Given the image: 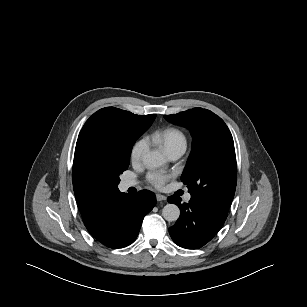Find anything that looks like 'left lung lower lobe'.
Instances as JSON below:
<instances>
[{
	"label": "left lung lower lobe",
	"instance_id": "0a47b994",
	"mask_svg": "<svg viewBox=\"0 0 307 307\" xmlns=\"http://www.w3.org/2000/svg\"><path fill=\"white\" fill-rule=\"evenodd\" d=\"M167 201L181 209L180 218L169 228L172 240L180 247L197 249L204 246L225 222V219L192 199L189 203H181V198L172 195Z\"/></svg>",
	"mask_w": 307,
	"mask_h": 307
}]
</instances>
